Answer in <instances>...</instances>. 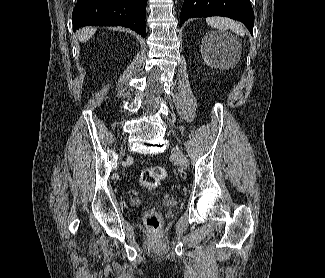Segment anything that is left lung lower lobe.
<instances>
[{
    "instance_id": "left-lung-lower-lobe-1",
    "label": "left lung lower lobe",
    "mask_w": 325,
    "mask_h": 278,
    "mask_svg": "<svg viewBox=\"0 0 325 278\" xmlns=\"http://www.w3.org/2000/svg\"><path fill=\"white\" fill-rule=\"evenodd\" d=\"M225 16L241 21L253 34L254 13L250 0H185L180 26L193 17Z\"/></svg>"
}]
</instances>
